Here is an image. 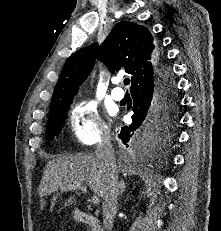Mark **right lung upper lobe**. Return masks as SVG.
<instances>
[{"instance_id":"right-lung-upper-lobe-1","label":"right lung upper lobe","mask_w":221,"mask_h":231,"mask_svg":"<svg viewBox=\"0 0 221 231\" xmlns=\"http://www.w3.org/2000/svg\"><path fill=\"white\" fill-rule=\"evenodd\" d=\"M160 53L146 27L128 21L117 23L100 47L92 44L68 58L52 96L50 113L74 97L96 58L102 60L112 72L124 66L131 75L130 91H133L153 83Z\"/></svg>"}]
</instances>
